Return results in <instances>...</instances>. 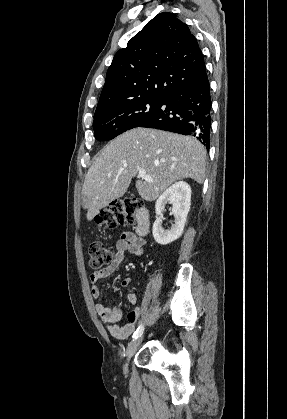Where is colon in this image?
Returning a JSON list of instances; mask_svg holds the SVG:
<instances>
[{"label": "colon", "mask_w": 287, "mask_h": 419, "mask_svg": "<svg viewBox=\"0 0 287 419\" xmlns=\"http://www.w3.org/2000/svg\"><path fill=\"white\" fill-rule=\"evenodd\" d=\"M141 206V202L136 199L115 200L96 214L95 223L97 226L107 229H114L120 224H133L135 215ZM89 257L90 266L100 268L110 262L111 251L104 244L93 242L89 246Z\"/></svg>", "instance_id": "obj_1"}]
</instances>
